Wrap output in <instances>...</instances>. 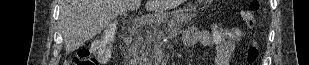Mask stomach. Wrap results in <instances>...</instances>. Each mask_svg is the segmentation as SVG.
Returning <instances> with one entry per match:
<instances>
[{
    "mask_svg": "<svg viewBox=\"0 0 309 65\" xmlns=\"http://www.w3.org/2000/svg\"><path fill=\"white\" fill-rule=\"evenodd\" d=\"M190 9H191V5H186V6L183 8L182 11H189ZM165 17H166L165 15L157 16V17H156V21H157V22H162V21H164ZM166 20H167V19H166ZM182 21H183V20H182V17L179 15V16H177V19H175L174 21H173V20H172V21H168V24H169V25H171V24L180 25Z\"/></svg>",
    "mask_w": 309,
    "mask_h": 65,
    "instance_id": "stomach-1",
    "label": "stomach"
}]
</instances>
